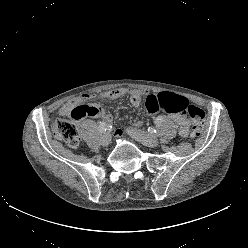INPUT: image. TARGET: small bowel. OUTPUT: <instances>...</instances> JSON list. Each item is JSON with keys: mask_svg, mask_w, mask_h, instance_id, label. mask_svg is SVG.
Here are the masks:
<instances>
[{"mask_svg": "<svg viewBox=\"0 0 248 248\" xmlns=\"http://www.w3.org/2000/svg\"><path fill=\"white\" fill-rule=\"evenodd\" d=\"M97 95L92 92L81 94L65 103L60 109L59 113L62 116H70L71 111L83 102L90 101L94 99ZM102 99H116L123 96H128L129 101L132 106L138 107L143 97L145 96V91L140 89H126V88H116L104 91L98 95ZM91 113L88 116L95 118H102L106 121H111V114L107 113L102 107L96 105H90ZM170 118L178 124L177 132L182 138H187L190 135V126L183 114H171ZM139 126V123L135 124ZM118 136H122V130L117 131Z\"/></svg>", "mask_w": 248, "mask_h": 248, "instance_id": "c3829d8e", "label": "small bowel"}]
</instances>
